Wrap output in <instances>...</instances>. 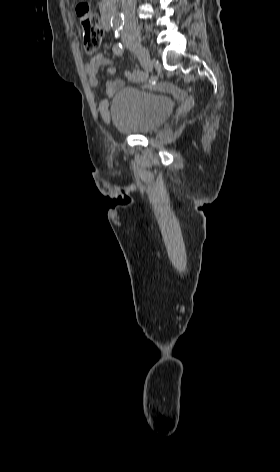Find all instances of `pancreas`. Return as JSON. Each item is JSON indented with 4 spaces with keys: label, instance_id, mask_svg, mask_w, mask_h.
Masks as SVG:
<instances>
[{
    "label": "pancreas",
    "instance_id": "pancreas-1",
    "mask_svg": "<svg viewBox=\"0 0 280 472\" xmlns=\"http://www.w3.org/2000/svg\"><path fill=\"white\" fill-rule=\"evenodd\" d=\"M103 1H104V2H108V1H110V0H103Z\"/></svg>",
    "mask_w": 280,
    "mask_h": 472
}]
</instances>
